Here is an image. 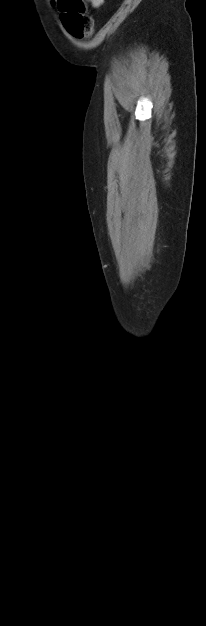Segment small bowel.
Listing matches in <instances>:
<instances>
[{"label":"small bowel","mask_w":206,"mask_h":626,"mask_svg":"<svg viewBox=\"0 0 206 626\" xmlns=\"http://www.w3.org/2000/svg\"><path fill=\"white\" fill-rule=\"evenodd\" d=\"M56 1L57 0H53V4H55ZM86 1H88L93 7H96V8L100 7L104 2V0H86Z\"/></svg>","instance_id":"obj_1"}]
</instances>
